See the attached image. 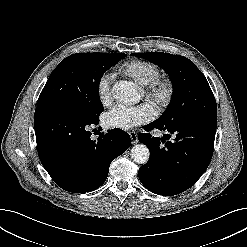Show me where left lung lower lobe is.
<instances>
[{
  "label": "left lung lower lobe",
  "mask_w": 247,
  "mask_h": 247,
  "mask_svg": "<svg viewBox=\"0 0 247 247\" xmlns=\"http://www.w3.org/2000/svg\"><path fill=\"white\" fill-rule=\"evenodd\" d=\"M217 122L183 121L166 126L156 121L148 124L147 131L157 128L175 135L162 138L141 133L138 138L149 147L151 157L139 168V179L150 191L173 196L192 187L210 164L213 155ZM168 137V138H167Z\"/></svg>",
  "instance_id": "left-lung-lower-lobe-1"
}]
</instances>
